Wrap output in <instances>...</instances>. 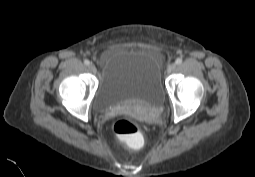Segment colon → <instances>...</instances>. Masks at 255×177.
Segmentation results:
<instances>
[{"label":"colon","instance_id":"1","mask_svg":"<svg viewBox=\"0 0 255 177\" xmlns=\"http://www.w3.org/2000/svg\"><path fill=\"white\" fill-rule=\"evenodd\" d=\"M113 132L124 141L130 148L138 150L141 148L143 138L136 123L128 119H118L112 125Z\"/></svg>","mask_w":255,"mask_h":177}]
</instances>
